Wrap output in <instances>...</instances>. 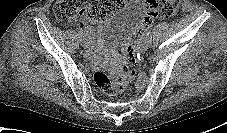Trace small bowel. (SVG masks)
<instances>
[{"mask_svg": "<svg viewBox=\"0 0 227 133\" xmlns=\"http://www.w3.org/2000/svg\"><path fill=\"white\" fill-rule=\"evenodd\" d=\"M80 28L82 29V31L84 32V34L91 38L92 34H93V30H94V24H86L80 21Z\"/></svg>", "mask_w": 227, "mask_h": 133, "instance_id": "1", "label": "small bowel"}]
</instances>
